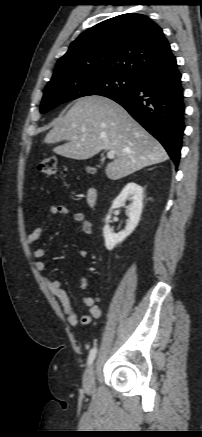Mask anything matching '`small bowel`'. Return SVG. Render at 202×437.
<instances>
[{"mask_svg":"<svg viewBox=\"0 0 202 437\" xmlns=\"http://www.w3.org/2000/svg\"><path fill=\"white\" fill-rule=\"evenodd\" d=\"M51 215H64L70 214V209L66 205H55L51 204L48 208ZM73 218L75 221L79 222L82 226V230L86 235L92 234V225L85 218V216L80 212L73 213ZM46 231L45 226H39L35 228L27 237V243L30 247L38 241L41 236ZM88 250L83 248L80 250V255L82 257L87 256ZM31 255L35 258L34 267L38 272H43L45 269V261L43 257L45 255V249L43 247H37L31 249ZM43 281L48 291L55 296L61 304L62 310L67 317V321L70 326L76 327L79 324V318L74 311L71 300L67 292L62 288L61 282L57 279L49 278L48 276H43ZM86 282L83 280L82 288L85 289ZM83 303L88 307L89 311L82 315L80 321L82 324H90L93 319L100 318L102 315L101 308L97 305V299L83 296Z\"/></svg>","mask_w":202,"mask_h":437,"instance_id":"1","label":"small bowel"}]
</instances>
